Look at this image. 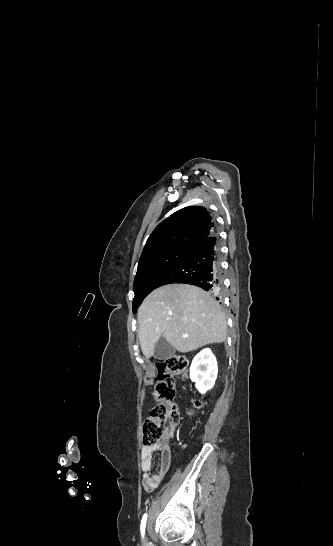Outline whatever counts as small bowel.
<instances>
[{
    "label": "small bowel",
    "mask_w": 333,
    "mask_h": 546,
    "mask_svg": "<svg viewBox=\"0 0 333 546\" xmlns=\"http://www.w3.org/2000/svg\"><path fill=\"white\" fill-rule=\"evenodd\" d=\"M160 453V463L158 471H153V457ZM171 465V454L161 444L144 445L141 449V469L143 472V488L146 492H151L158 487L165 479V476Z\"/></svg>",
    "instance_id": "small-bowel-1"
}]
</instances>
